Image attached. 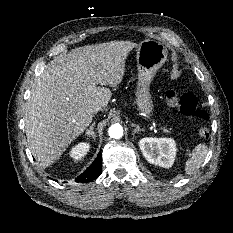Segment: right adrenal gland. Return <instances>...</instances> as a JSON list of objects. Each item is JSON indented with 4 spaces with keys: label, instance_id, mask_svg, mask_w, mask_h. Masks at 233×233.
<instances>
[{
    "label": "right adrenal gland",
    "instance_id": "1",
    "mask_svg": "<svg viewBox=\"0 0 233 233\" xmlns=\"http://www.w3.org/2000/svg\"><path fill=\"white\" fill-rule=\"evenodd\" d=\"M95 126V122L89 127V129L87 130V132L85 133V135L87 136H92L93 139L96 138V134L95 132L93 131V127Z\"/></svg>",
    "mask_w": 233,
    "mask_h": 233
}]
</instances>
